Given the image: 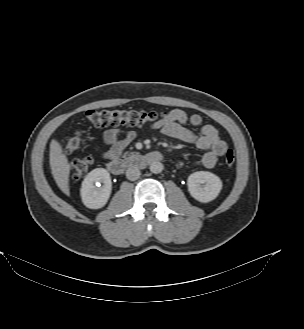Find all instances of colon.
I'll return each instance as SVG.
<instances>
[{
  "label": "colon",
  "instance_id": "5ec220e1",
  "mask_svg": "<svg viewBox=\"0 0 304 329\" xmlns=\"http://www.w3.org/2000/svg\"><path fill=\"white\" fill-rule=\"evenodd\" d=\"M165 114L155 111H137L126 109H99L87 112V120L96 127L108 125H129V126H152L162 121ZM85 143L83 136L79 133L67 140L65 150L67 153L78 151ZM225 163L229 166L235 162V154L227 150L224 155ZM92 158L89 156L79 158L72 163L71 174L74 179L82 178L92 166Z\"/></svg>",
  "mask_w": 304,
  "mask_h": 329
}]
</instances>
